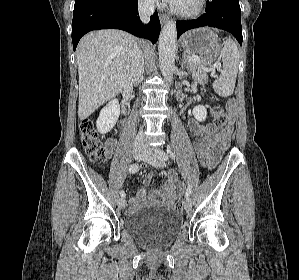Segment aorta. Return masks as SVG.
Masks as SVG:
<instances>
[{
	"label": "aorta",
	"instance_id": "762f6f07",
	"mask_svg": "<svg viewBox=\"0 0 299 280\" xmlns=\"http://www.w3.org/2000/svg\"><path fill=\"white\" fill-rule=\"evenodd\" d=\"M177 29L174 21H168L161 30L159 37V64L163 77L172 82L175 67Z\"/></svg>",
	"mask_w": 299,
	"mask_h": 280
}]
</instances>
